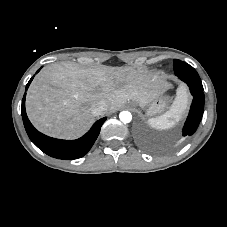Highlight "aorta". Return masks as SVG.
I'll use <instances>...</instances> for the list:
<instances>
[{"mask_svg": "<svg viewBox=\"0 0 227 227\" xmlns=\"http://www.w3.org/2000/svg\"><path fill=\"white\" fill-rule=\"evenodd\" d=\"M119 119L123 122V123H129L132 120V114L129 111H122L119 114Z\"/></svg>", "mask_w": 227, "mask_h": 227, "instance_id": "762f6f07", "label": "aorta"}]
</instances>
